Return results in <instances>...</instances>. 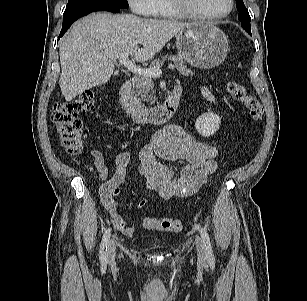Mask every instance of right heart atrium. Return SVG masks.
<instances>
[{"label":"right heart atrium","mask_w":307,"mask_h":301,"mask_svg":"<svg viewBox=\"0 0 307 301\" xmlns=\"http://www.w3.org/2000/svg\"><path fill=\"white\" fill-rule=\"evenodd\" d=\"M129 6L138 15L157 16L160 12V0H127Z\"/></svg>","instance_id":"obj_1"}]
</instances>
